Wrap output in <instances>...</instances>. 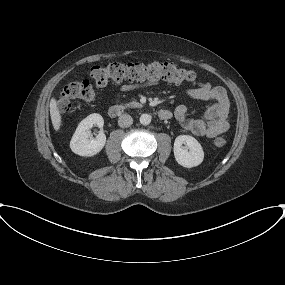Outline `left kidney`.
Returning a JSON list of instances; mask_svg holds the SVG:
<instances>
[{
    "label": "left kidney",
    "instance_id": "5707ae66",
    "mask_svg": "<svg viewBox=\"0 0 285 285\" xmlns=\"http://www.w3.org/2000/svg\"><path fill=\"white\" fill-rule=\"evenodd\" d=\"M173 151L177 163L186 168L196 167L204 159L201 144L189 135H179L176 137Z\"/></svg>",
    "mask_w": 285,
    "mask_h": 285
}]
</instances>
